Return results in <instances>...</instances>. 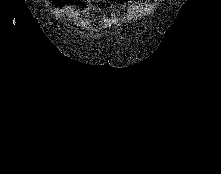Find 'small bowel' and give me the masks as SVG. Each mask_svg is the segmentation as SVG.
I'll return each instance as SVG.
<instances>
[{"label": "small bowel", "instance_id": "1", "mask_svg": "<svg viewBox=\"0 0 221 174\" xmlns=\"http://www.w3.org/2000/svg\"><path fill=\"white\" fill-rule=\"evenodd\" d=\"M75 0H54L55 4L58 6H63L65 5L67 2H74Z\"/></svg>", "mask_w": 221, "mask_h": 174}]
</instances>
